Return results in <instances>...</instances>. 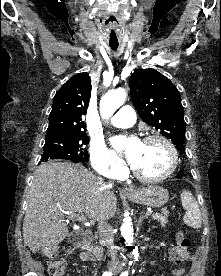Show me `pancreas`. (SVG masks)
<instances>
[{
	"label": "pancreas",
	"instance_id": "cf45deb5",
	"mask_svg": "<svg viewBox=\"0 0 221 276\" xmlns=\"http://www.w3.org/2000/svg\"><path fill=\"white\" fill-rule=\"evenodd\" d=\"M167 216H168L167 212H164L163 214L156 213L152 215V218L160 222L162 226H165L168 222Z\"/></svg>",
	"mask_w": 221,
	"mask_h": 276
}]
</instances>
